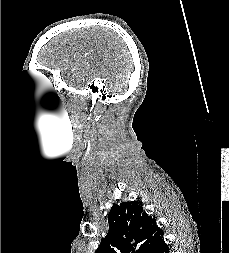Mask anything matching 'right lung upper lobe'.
<instances>
[{
    "instance_id": "right-lung-upper-lobe-1",
    "label": "right lung upper lobe",
    "mask_w": 229,
    "mask_h": 253,
    "mask_svg": "<svg viewBox=\"0 0 229 253\" xmlns=\"http://www.w3.org/2000/svg\"><path fill=\"white\" fill-rule=\"evenodd\" d=\"M109 232L95 253H151L163 231L138 202L113 205L108 214Z\"/></svg>"
}]
</instances>
